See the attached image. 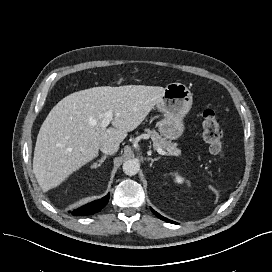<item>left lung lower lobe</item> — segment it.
I'll return each instance as SVG.
<instances>
[{
  "label": "left lung lower lobe",
  "instance_id": "left-lung-lower-lobe-1",
  "mask_svg": "<svg viewBox=\"0 0 272 272\" xmlns=\"http://www.w3.org/2000/svg\"><path fill=\"white\" fill-rule=\"evenodd\" d=\"M151 210L153 211V213H154L158 218H160V219H162V220H164V221H167V222L175 223V224H176V222H174V221H172V220H169V219H167V218L161 216L160 214H158V213H157L156 211H154L153 209H151Z\"/></svg>",
  "mask_w": 272,
  "mask_h": 272
}]
</instances>
